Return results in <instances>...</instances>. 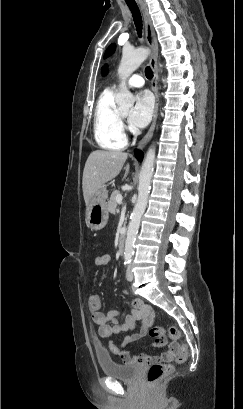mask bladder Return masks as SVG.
I'll return each instance as SVG.
<instances>
[{"mask_svg": "<svg viewBox=\"0 0 243 409\" xmlns=\"http://www.w3.org/2000/svg\"><path fill=\"white\" fill-rule=\"evenodd\" d=\"M98 364L105 375L120 381H134L141 372L140 365H124L111 358H98Z\"/></svg>", "mask_w": 243, "mask_h": 409, "instance_id": "obj_1", "label": "bladder"}]
</instances>
